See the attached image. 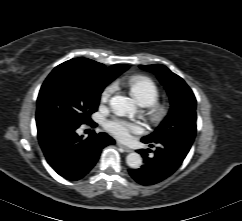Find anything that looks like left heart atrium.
I'll list each match as a JSON object with an SVG mask.
<instances>
[{
  "label": "left heart atrium",
  "mask_w": 242,
  "mask_h": 221,
  "mask_svg": "<svg viewBox=\"0 0 242 221\" xmlns=\"http://www.w3.org/2000/svg\"><path fill=\"white\" fill-rule=\"evenodd\" d=\"M105 125L107 130L120 140H128L132 133L140 132L138 124L119 117L108 120Z\"/></svg>",
  "instance_id": "obj_1"
}]
</instances>
